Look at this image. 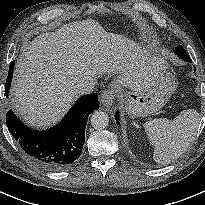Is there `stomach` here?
Masks as SVG:
<instances>
[{
  "mask_svg": "<svg viewBox=\"0 0 205 205\" xmlns=\"http://www.w3.org/2000/svg\"><path fill=\"white\" fill-rule=\"evenodd\" d=\"M175 78L168 70H162L150 87L142 90H119L126 113L131 117L146 116L159 111L175 91Z\"/></svg>",
  "mask_w": 205,
  "mask_h": 205,
  "instance_id": "obj_1",
  "label": "stomach"
}]
</instances>
